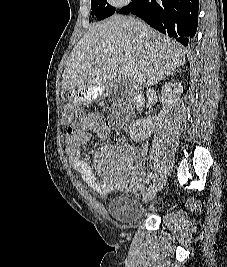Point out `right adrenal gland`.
Segmentation results:
<instances>
[{
	"label": "right adrenal gland",
	"instance_id": "obj_1",
	"mask_svg": "<svg viewBox=\"0 0 227 267\" xmlns=\"http://www.w3.org/2000/svg\"><path fill=\"white\" fill-rule=\"evenodd\" d=\"M164 78H165V77H162L159 81L163 80ZM159 81H158V82H159Z\"/></svg>",
	"mask_w": 227,
	"mask_h": 267
}]
</instances>
